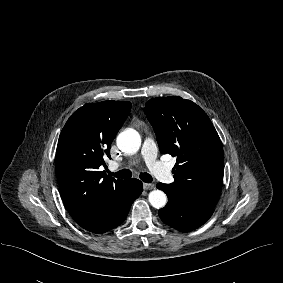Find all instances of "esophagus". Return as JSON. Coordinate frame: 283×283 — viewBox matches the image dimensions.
Here are the masks:
<instances>
[{
	"label": "esophagus",
	"instance_id": "obj_1",
	"mask_svg": "<svg viewBox=\"0 0 283 283\" xmlns=\"http://www.w3.org/2000/svg\"><path fill=\"white\" fill-rule=\"evenodd\" d=\"M143 188H144L145 190H152V189L155 188V186H154V184L144 183V184H143Z\"/></svg>",
	"mask_w": 283,
	"mask_h": 283
}]
</instances>
